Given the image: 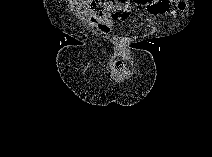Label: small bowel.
<instances>
[{"label": "small bowel", "mask_w": 212, "mask_h": 157, "mask_svg": "<svg viewBox=\"0 0 212 157\" xmlns=\"http://www.w3.org/2000/svg\"><path fill=\"white\" fill-rule=\"evenodd\" d=\"M172 5H174L173 8ZM141 9H145L154 16L169 13L179 17L185 6L180 0H101L85 4L87 22L104 34L110 33L114 21H124L130 17L133 10ZM112 68L115 72H119L120 62H114Z\"/></svg>", "instance_id": "1"}]
</instances>
